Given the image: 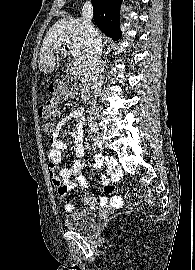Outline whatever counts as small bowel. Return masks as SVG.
I'll use <instances>...</instances> for the list:
<instances>
[{"mask_svg":"<svg viewBox=\"0 0 195 270\" xmlns=\"http://www.w3.org/2000/svg\"><path fill=\"white\" fill-rule=\"evenodd\" d=\"M71 121L76 122L69 130V135L74 141L77 160L73 162L71 167L66 168L61 165V162L62 155L67 150V145L60 140L59 134L62 128ZM84 124L85 116L83 108H74L63 116L55 128V132L50 137L51 150L48 153V172L51 176L52 184L57 188L58 194L61 197L66 196L67 193L76 188L78 184H87L86 178L80 173L84 167L82 160L85 152ZM107 162L111 178L103 177L102 184L104 185L105 193L111 195V197L109 199L102 197L100 202L102 205H110L111 207L119 208L122 206L123 200L120 196L114 195L116 188L111 184V180L118 179L121 171L113 159H109ZM100 164L101 158L97 156L95 158V165L99 166ZM81 200L85 205H91L93 203V198L89 194H84ZM65 210L67 212H73L75 208L72 204L67 203L65 204Z\"/></svg>","mask_w":195,"mask_h":270,"instance_id":"small-bowel-1","label":"small bowel"}]
</instances>
